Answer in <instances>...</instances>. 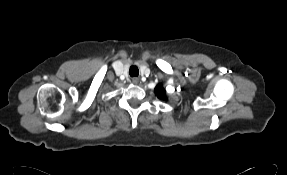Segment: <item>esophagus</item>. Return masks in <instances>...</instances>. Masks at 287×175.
<instances>
[{"label": "esophagus", "instance_id": "34e87169", "mask_svg": "<svg viewBox=\"0 0 287 175\" xmlns=\"http://www.w3.org/2000/svg\"><path fill=\"white\" fill-rule=\"evenodd\" d=\"M132 81H133L134 84H137L139 79L138 78H133Z\"/></svg>", "mask_w": 287, "mask_h": 175}]
</instances>
